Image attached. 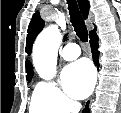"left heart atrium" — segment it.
Instances as JSON below:
<instances>
[{
  "instance_id": "39dd6f15",
  "label": "left heart atrium",
  "mask_w": 121,
  "mask_h": 113,
  "mask_svg": "<svg viewBox=\"0 0 121 113\" xmlns=\"http://www.w3.org/2000/svg\"><path fill=\"white\" fill-rule=\"evenodd\" d=\"M62 82L68 95L75 99H84L93 89L94 69L86 60L77 61L63 70Z\"/></svg>"
}]
</instances>
